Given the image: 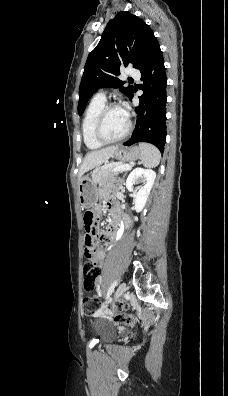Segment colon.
I'll return each mask as SVG.
<instances>
[{"instance_id": "1", "label": "colon", "mask_w": 228, "mask_h": 396, "mask_svg": "<svg viewBox=\"0 0 228 396\" xmlns=\"http://www.w3.org/2000/svg\"><path fill=\"white\" fill-rule=\"evenodd\" d=\"M84 225L87 232L85 238V258L86 261L83 265V286L86 291H92L96 287V281L100 275V269L93 259V252L96 245L98 236V229L96 226V217L92 211L84 213ZM83 313L86 316H93L99 309V301L95 297H84L82 301ZM129 304L121 302L118 305L120 313L116 316V320L127 325H133V317L126 314Z\"/></svg>"}]
</instances>
